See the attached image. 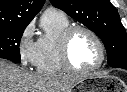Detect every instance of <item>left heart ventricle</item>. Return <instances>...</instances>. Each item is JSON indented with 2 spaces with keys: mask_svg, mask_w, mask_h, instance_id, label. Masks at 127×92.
Here are the masks:
<instances>
[{
  "mask_svg": "<svg viewBox=\"0 0 127 92\" xmlns=\"http://www.w3.org/2000/svg\"><path fill=\"white\" fill-rule=\"evenodd\" d=\"M70 57L75 67L86 69L96 65L100 58L97 44L85 32H78L72 39Z\"/></svg>",
  "mask_w": 127,
  "mask_h": 92,
  "instance_id": "obj_1",
  "label": "left heart ventricle"
}]
</instances>
